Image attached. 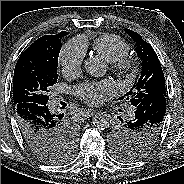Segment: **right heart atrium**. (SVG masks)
<instances>
[{"label":"right heart atrium","instance_id":"obj_1","mask_svg":"<svg viewBox=\"0 0 184 184\" xmlns=\"http://www.w3.org/2000/svg\"><path fill=\"white\" fill-rule=\"evenodd\" d=\"M86 55V47L79 38L67 42L59 54V63L66 73L76 74L80 71Z\"/></svg>","mask_w":184,"mask_h":184}]
</instances>
